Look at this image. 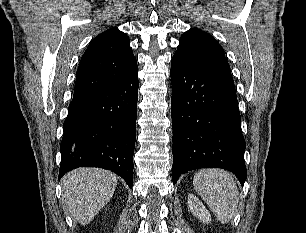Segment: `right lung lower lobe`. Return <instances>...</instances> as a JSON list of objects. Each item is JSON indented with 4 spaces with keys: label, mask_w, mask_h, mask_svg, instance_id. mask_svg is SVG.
Masks as SVG:
<instances>
[{
    "label": "right lung lower lobe",
    "mask_w": 306,
    "mask_h": 233,
    "mask_svg": "<svg viewBox=\"0 0 306 233\" xmlns=\"http://www.w3.org/2000/svg\"><path fill=\"white\" fill-rule=\"evenodd\" d=\"M138 67L118 84L73 98L63 124L59 179L78 167H100L133 185Z\"/></svg>",
    "instance_id": "98d812e1"
}]
</instances>
